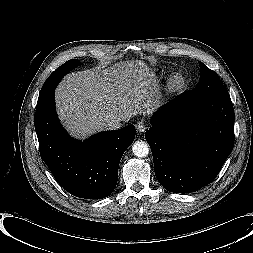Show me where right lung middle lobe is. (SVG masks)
I'll return each mask as SVG.
<instances>
[{"label": "right lung middle lobe", "instance_id": "right-lung-middle-lobe-1", "mask_svg": "<svg viewBox=\"0 0 253 253\" xmlns=\"http://www.w3.org/2000/svg\"><path fill=\"white\" fill-rule=\"evenodd\" d=\"M79 65L77 59H71L57 68L45 81L41 88L38 101L44 100L58 85L65 74Z\"/></svg>", "mask_w": 253, "mask_h": 253}]
</instances>
